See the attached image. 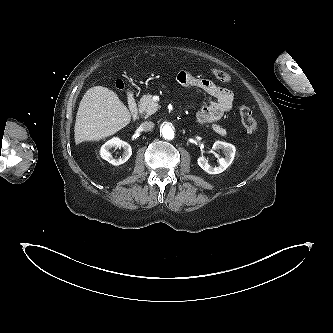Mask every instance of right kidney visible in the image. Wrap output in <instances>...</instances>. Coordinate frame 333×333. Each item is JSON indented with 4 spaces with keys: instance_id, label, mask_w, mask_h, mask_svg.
<instances>
[{
    "instance_id": "obj_1",
    "label": "right kidney",
    "mask_w": 333,
    "mask_h": 333,
    "mask_svg": "<svg viewBox=\"0 0 333 333\" xmlns=\"http://www.w3.org/2000/svg\"><path fill=\"white\" fill-rule=\"evenodd\" d=\"M114 147H120L123 149L122 156L118 159H115L110 152V150ZM100 155L112 165L118 166L125 163L131 157L132 148L127 142L120 140L118 137H114L101 146Z\"/></svg>"
}]
</instances>
